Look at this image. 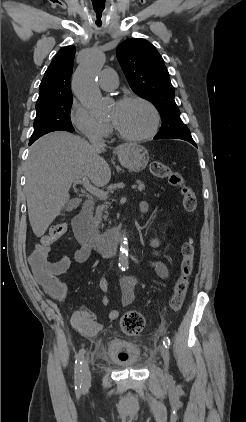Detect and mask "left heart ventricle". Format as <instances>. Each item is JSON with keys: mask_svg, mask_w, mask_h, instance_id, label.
I'll use <instances>...</instances> for the list:
<instances>
[{"mask_svg": "<svg viewBox=\"0 0 246 422\" xmlns=\"http://www.w3.org/2000/svg\"><path fill=\"white\" fill-rule=\"evenodd\" d=\"M108 119L118 129L130 135L146 133L153 122L151 111L145 105L137 102L115 104L109 112Z\"/></svg>", "mask_w": 246, "mask_h": 422, "instance_id": "left-heart-ventricle-1", "label": "left heart ventricle"}]
</instances>
